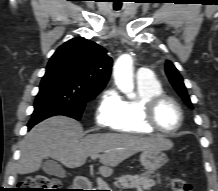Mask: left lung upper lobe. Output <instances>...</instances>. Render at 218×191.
Segmentation results:
<instances>
[{"label":"left lung upper lobe","instance_id":"5c2ea615","mask_svg":"<svg viewBox=\"0 0 218 191\" xmlns=\"http://www.w3.org/2000/svg\"><path fill=\"white\" fill-rule=\"evenodd\" d=\"M165 70H166V74H167L171 84L173 85V87L175 88L177 93L183 98L184 102L191 109H193L191 100H190V98H189V96L187 94L186 87H185V85L183 83V78L179 74V72L176 69V67L173 65L172 62L167 61L166 65H165Z\"/></svg>","mask_w":218,"mask_h":191}]
</instances>
